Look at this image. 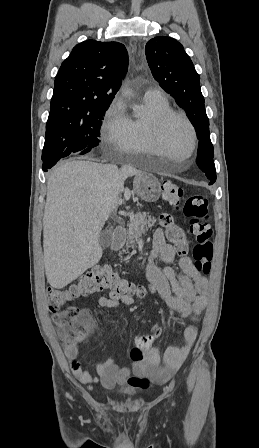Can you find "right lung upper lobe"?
<instances>
[{"label":"right lung upper lobe","mask_w":259,"mask_h":448,"mask_svg":"<svg viewBox=\"0 0 259 448\" xmlns=\"http://www.w3.org/2000/svg\"><path fill=\"white\" fill-rule=\"evenodd\" d=\"M128 69L123 44L87 40L76 45L54 82L50 113L109 107Z\"/></svg>","instance_id":"obj_1"}]
</instances>
